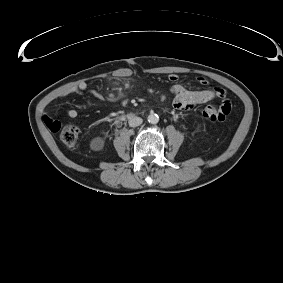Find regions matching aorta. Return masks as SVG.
Wrapping results in <instances>:
<instances>
[{"mask_svg": "<svg viewBox=\"0 0 283 283\" xmlns=\"http://www.w3.org/2000/svg\"><path fill=\"white\" fill-rule=\"evenodd\" d=\"M148 122L151 124H157L159 122V116L155 113H151L148 116Z\"/></svg>", "mask_w": 283, "mask_h": 283, "instance_id": "762f6f07", "label": "aorta"}]
</instances>
